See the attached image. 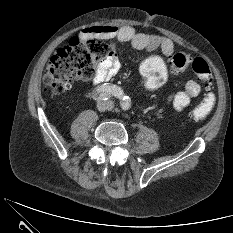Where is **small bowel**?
<instances>
[{
    "mask_svg": "<svg viewBox=\"0 0 233 233\" xmlns=\"http://www.w3.org/2000/svg\"><path fill=\"white\" fill-rule=\"evenodd\" d=\"M81 36L101 37L106 39H116L118 42H129L133 48L146 53L160 50L165 58H169L174 53L173 42L164 36L157 34H146L138 32L132 26L102 25L92 26L82 30ZM120 62L114 48L107 56L96 65V74L93 78V85L98 88L105 86L108 81L118 72ZM201 92L199 83L189 80L182 90L172 93L168 97V103L176 110H184L190 101Z\"/></svg>",
    "mask_w": 233,
    "mask_h": 233,
    "instance_id": "c3829d8e",
    "label": "small bowel"
}]
</instances>
